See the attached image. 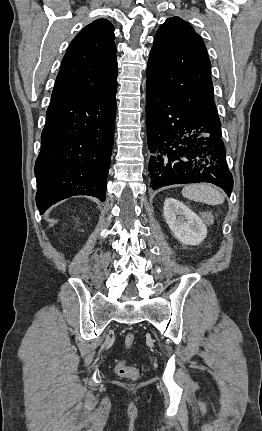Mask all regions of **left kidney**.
I'll return each mask as SVG.
<instances>
[{"instance_id":"left-kidney-1","label":"left kidney","mask_w":262,"mask_h":431,"mask_svg":"<svg viewBox=\"0 0 262 431\" xmlns=\"http://www.w3.org/2000/svg\"><path fill=\"white\" fill-rule=\"evenodd\" d=\"M164 218L174 236L183 244L198 245L207 236L203 221L191 209L174 198L165 200Z\"/></svg>"}]
</instances>
